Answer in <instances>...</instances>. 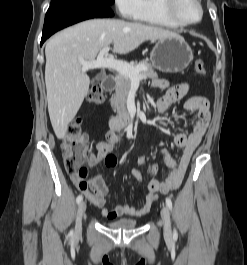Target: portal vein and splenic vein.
I'll use <instances>...</instances> for the list:
<instances>
[{"label":"portal vein and splenic vein","instance_id":"18ae733b","mask_svg":"<svg viewBox=\"0 0 247 265\" xmlns=\"http://www.w3.org/2000/svg\"><path fill=\"white\" fill-rule=\"evenodd\" d=\"M110 47H104L98 54L96 60L92 61H82V72H85L89 69L95 68H109L114 69L121 75L127 76L132 80H140L141 76L139 72L145 70L144 66L133 67L130 64L116 60L114 58H106L105 54L108 53Z\"/></svg>","mask_w":247,"mask_h":265}]
</instances>
